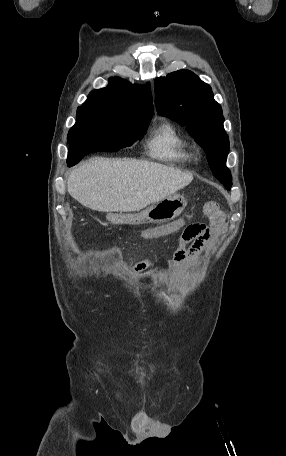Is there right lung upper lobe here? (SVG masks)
Here are the masks:
<instances>
[{
    "label": "right lung upper lobe",
    "instance_id": "1",
    "mask_svg": "<svg viewBox=\"0 0 286 456\" xmlns=\"http://www.w3.org/2000/svg\"><path fill=\"white\" fill-rule=\"evenodd\" d=\"M109 82L107 88L93 90L80 107L152 118L154 109L149 86L132 85L118 77H111Z\"/></svg>",
    "mask_w": 286,
    "mask_h": 456
}]
</instances>
